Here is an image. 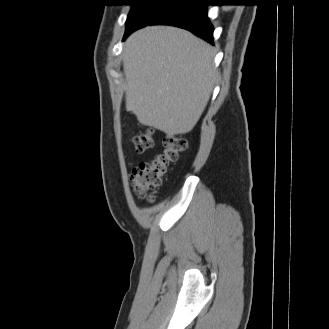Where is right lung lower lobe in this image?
I'll list each match as a JSON object with an SVG mask.
<instances>
[{
  "mask_svg": "<svg viewBox=\"0 0 329 329\" xmlns=\"http://www.w3.org/2000/svg\"><path fill=\"white\" fill-rule=\"evenodd\" d=\"M200 1L202 0H179L171 3L147 25L177 26L213 43V27L207 17L206 5Z\"/></svg>",
  "mask_w": 329,
  "mask_h": 329,
  "instance_id": "obj_1",
  "label": "right lung lower lobe"
}]
</instances>
